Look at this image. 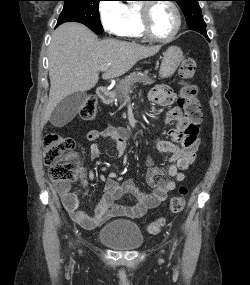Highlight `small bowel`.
I'll return each mask as SVG.
<instances>
[{"mask_svg": "<svg viewBox=\"0 0 250 285\" xmlns=\"http://www.w3.org/2000/svg\"><path fill=\"white\" fill-rule=\"evenodd\" d=\"M149 99L158 106H169L176 99V95L167 86L157 85L150 90ZM178 101L179 105L170 109L165 116V122L174 123V127L168 132L173 141H155V147L159 152L169 154L170 164L167 174L170 179H156L163 174V171L159 167L152 166L151 157L147 160L151 167L146 175V183L152 189L149 193L141 191L131 180L119 184L113 178L102 176L104 182L103 195L92 214L80 208L79 198L71 191L68 183L57 182V192L73 221L85 229H94L115 217L141 218L149 209L159 206L166 199L167 194L175 190L178 183L185 180L184 171L195 160L199 144L197 138L199 129L198 125L193 126L189 123L183 114L181 99ZM130 135V131L122 127L89 130L86 139L91 142V159L95 160L100 157L101 148L97 142L100 138L114 143L117 156H123L127 150L126 141ZM78 174L81 187L85 190L88 177L86 168L80 166ZM126 194L132 195L137 201L136 204L121 205L116 203Z\"/></svg>", "mask_w": 250, "mask_h": 285, "instance_id": "c3829d8e", "label": "small bowel"}]
</instances>
